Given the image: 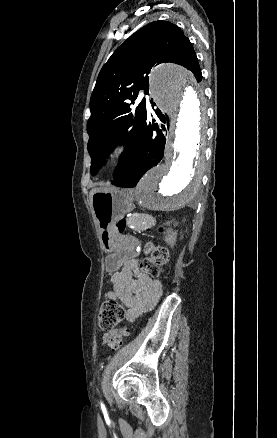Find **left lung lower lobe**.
Instances as JSON below:
<instances>
[{"instance_id": "1", "label": "left lung lower lobe", "mask_w": 277, "mask_h": 438, "mask_svg": "<svg viewBox=\"0 0 277 438\" xmlns=\"http://www.w3.org/2000/svg\"><path fill=\"white\" fill-rule=\"evenodd\" d=\"M152 101V100H151ZM152 107L155 105L151 102ZM155 118L150 121V115L147 114L146 126L142 133V138L138 144L137 150L131 159L126 170L111 183L121 187H135L143 174L153 166H156L164 155L166 142V129L164 125L161 128L156 121L167 124V117L159 109L155 110ZM167 122V123H166Z\"/></svg>"}]
</instances>
